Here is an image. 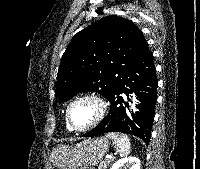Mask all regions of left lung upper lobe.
Listing matches in <instances>:
<instances>
[{
    "instance_id": "left-lung-upper-lobe-1",
    "label": "left lung upper lobe",
    "mask_w": 200,
    "mask_h": 169,
    "mask_svg": "<svg viewBox=\"0 0 200 169\" xmlns=\"http://www.w3.org/2000/svg\"><path fill=\"white\" fill-rule=\"evenodd\" d=\"M148 50L132 21L115 15L96 21L74 35L62 56L55 84L58 99L79 92L108 98Z\"/></svg>"
}]
</instances>
